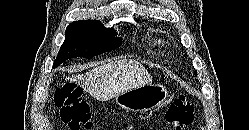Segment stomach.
Wrapping results in <instances>:
<instances>
[{
	"mask_svg": "<svg viewBox=\"0 0 249 130\" xmlns=\"http://www.w3.org/2000/svg\"><path fill=\"white\" fill-rule=\"evenodd\" d=\"M168 98L169 92L164 85L148 84L117 95L115 101L126 110L146 112L166 103Z\"/></svg>",
	"mask_w": 249,
	"mask_h": 130,
	"instance_id": "1",
	"label": "stomach"
}]
</instances>
